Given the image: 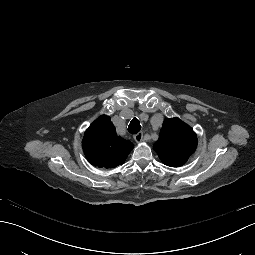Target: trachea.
<instances>
[{
	"label": "trachea",
	"mask_w": 255,
	"mask_h": 255,
	"mask_svg": "<svg viewBox=\"0 0 255 255\" xmlns=\"http://www.w3.org/2000/svg\"><path fill=\"white\" fill-rule=\"evenodd\" d=\"M141 130L140 121L134 117L128 126V131L131 134H137Z\"/></svg>",
	"instance_id": "trachea-1"
}]
</instances>
